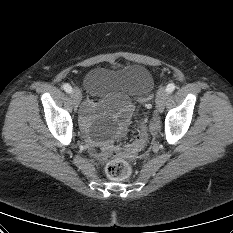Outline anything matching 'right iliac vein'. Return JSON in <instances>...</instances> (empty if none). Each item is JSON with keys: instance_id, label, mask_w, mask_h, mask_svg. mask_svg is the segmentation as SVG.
<instances>
[{"instance_id": "obj_1", "label": "right iliac vein", "mask_w": 233, "mask_h": 233, "mask_svg": "<svg viewBox=\"0 0 233 233\" xmlns=\"http://www.w3.org/2000/svg\"><path fill=\"white\" fill-rule=\"evenodd\" d=\"M71 97H72L75 109H77V107L80 104L81 99H82V94H81L80 90L77 88H74L72 91Z\"/></svg>"}]
</instances>
